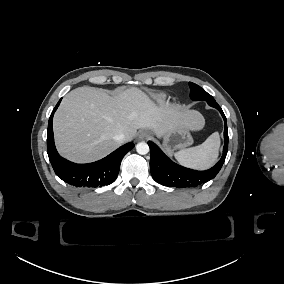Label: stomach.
<instances>
[{
	"mask_svg": "<svg viewBox=\"0 0 284 284\" xmlns=\"http://www.w3.org/2000/svg\"><path fill=\"white\" fill-rule=\"evenodd\" d=\"M163 139L164 147L168 152L190 146L193 143L189 130L183 126H176L171 131L167 132Z\"/></svg>",
	"mask_w": 284,
	"mask_h": 284,
	"instance_id": "stomach-1",
	"label": "stomach"
}]
</instances>
